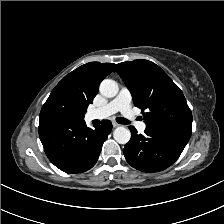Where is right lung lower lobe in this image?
Instances as JSON below:
<instances>
[{
	"label": "right lung lower lobe",
	"instance_id": "98d812e1",
	"mask_svg": "<svg viewBox=\"0 0 224 224\" xmlns=\"http://www.w3.org/2000/svg\"><path fill=\"white\" fill-rule=\"evenodd\" d=\"M39 136L49 160L67 173H82L92 168L112 129L104 120L95 129L84 120L76 121L52 114L39 117Z\"/></svg>",
	"mask_w": 224,
	"mask_h": 224
}]
</instances>
